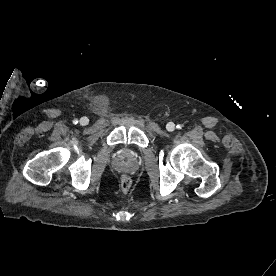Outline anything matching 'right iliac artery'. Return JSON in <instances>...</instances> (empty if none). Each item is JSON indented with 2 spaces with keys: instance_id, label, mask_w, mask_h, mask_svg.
I'll return each instance as SVG.
<instances>
[{
  "instance_id": "obj_1",
  "label": "right iliac artery",
  "mask_w": 276,
  "mask_h": 276,
  "mask_svg": "<svg viewBox=\"0 0 276 276\" xmlns=\"http://www.w3.org/2000/svg\"><path fill=\"white\" fill-rule=\"evenodd\" d=\"M78 123V120L77 119H74L73 120V124H77Z\"/></svg>"
}]
</instances>
